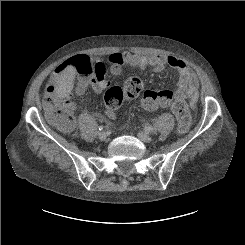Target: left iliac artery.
I'll use <instances>...</instances> for the list:
<instances>
[{"instance_id":"1","label":"left iliac artery","mask_w":245,"mask_h":245,"mask_svg":"<svg viewBox=\"0 0 245 245\" xmlns=\"http://www.w3.org/2000/svg\"><path fill=\"white\" fill-rule=\"evenodd\" d=\"M144 130L150 132V131H154V128H152L150 125H145Z\"/></svg>"}]
</instances>
